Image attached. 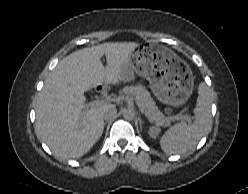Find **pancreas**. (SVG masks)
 Wrapping results in <instances>:
<instances>
[{
    "mask_svg": "<svg viewBox=\"0 0 248 194\" xmlns=\"http://www.w3.org/2000/svg\"><path fill=\"white\" fill-rule=\"evenodd\" d=\"M123 92L134 96L136 101L143 107L144 115L152 122L158 125H169L171 122L170 117H165L156 106L151 94L142 85L127 86Z\"/></svg>",
    "mask_w": 248,
    "mask_h": 194,
    "instance_id": "pancreas-1",
    "label": "pancreas"
}]
</instances>
